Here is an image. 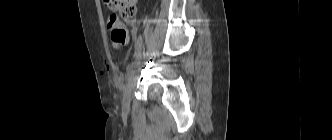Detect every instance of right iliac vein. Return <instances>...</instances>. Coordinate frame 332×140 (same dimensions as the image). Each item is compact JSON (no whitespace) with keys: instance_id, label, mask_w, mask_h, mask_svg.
Masks as SVG:
<instances>
[{"instance_id":"right-iliac-vein-1","label":"right iliac vein","mask_w":332,"mask_h":140,"mask_svg":"<svg viewBox=\"0 0 332 140\" xmlns=\"http://www.w3.org/2000/svg\"><path fill=\"white\" fill-rule=\"evenodd\" d=\"M134 88V79L133 75L129 77V81L123 96V108L124 110L128 111L130 109V103H131V98H132V92Z\"/></svg>"}]
</instances>
